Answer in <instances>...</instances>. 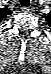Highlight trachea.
<instances>
[{
  "label": "trachea",
  "instance_id": "trachea-1",
  "mask_svg": "<svg viewBox=\"0 0 51 74\" xmlns=\"http://www.w3.org/2000/svg\"><path fill=\"white\" fill-rule=\"evenodd\" d=\"M20 3H21V6H29L30 5V3L25 0H21Z\"/></svg>",
  "mask_w": 51,
  "mask_h": 74
}]
</instances>
